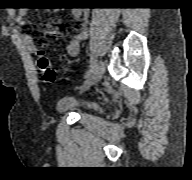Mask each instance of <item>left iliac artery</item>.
<instances>
[{
	"mask_svg": "<svg viewBox=\"0 0 192 180\" xmlns=\"http://www.w3.org/2000/svg\"><path fill=\"white\" fill-rule=\"evenodd\" d=\"M97 65V60L92 56L91 57V65H90V69L87 73V77L94 71V69L96 68Z\"/></svg>",
	"mask_w": 192,
	"mask_h": 180,
	"instance_id": "left-iliac-artery-1",
	"label": "left iliac artery"
}]
</instances>
